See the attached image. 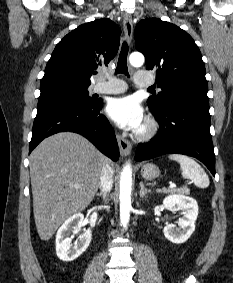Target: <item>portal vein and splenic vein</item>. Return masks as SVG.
<instances>
[{
  "label": "portal vein and splenic vein",
  "instance_id": "18ae733b",
  "mask_svg": "<svg viewBox=\"0 0 233 283\" xmlns=\"http://www.w3.org/2000/svg\"><path fill=\"white\" fill-rule=\"evenodd\" d=\"M76 188H81V186L77 185ZM173 188H176V184L170 183L169 189H173Z\"/></svg>",
  "mask_w": 233,
  "mask_h": 283
}]
</instances>
